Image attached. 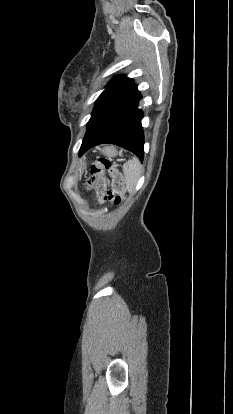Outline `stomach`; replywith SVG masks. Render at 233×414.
Wrapping results in <instances>:
<instances>
[{
    "label": "stomach",
    "mask_w": 233,
    "mask_h": 414,
    "mask_svg": "<svg viewBox=\"0 0 233 414\" xmlns=\"http://www.w3.org/2000/svg\"><path fill=\"white\" fill-rule=\"evenodd\" d=\"M105 153L109 156H114L116 154V152L112 148H107Z\"/></svg>",
    "instance_id": "1"
}]
</instances>
